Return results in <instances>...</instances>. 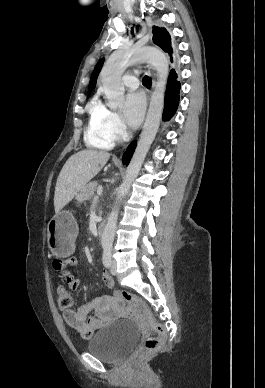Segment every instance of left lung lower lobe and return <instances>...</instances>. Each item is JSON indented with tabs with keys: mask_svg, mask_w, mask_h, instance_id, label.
Wrapping results in <instances>:
<instances>
[{
	"mask_svg": "<svg viewBox=\"0 0 265 388\" xmlns=\"http://www.w3.org/2000/svg\"><path fill=\"white\" fill-rule=\"evenodd\" d=\"M181 85L178 76V69L172 68L167 81L166 91H165V102L163 110V120L169 121L174 114L179 105V93Z\"/></svg>",
	"mask_w": 265,
	"mask_h": 388,
	"instance_id": "1",
	"label": "left lung lower lobe"
}]
</instances>
